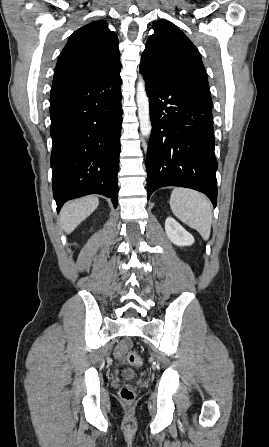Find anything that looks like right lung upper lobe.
<instances>
[{"label":"right lung upper lobe","mask_w":269,"mask_h":447,"mask_svg":"<svg viewBox=\"0 0 269 447\" xmlns=\"http://www.w3.org/2000/svg\"><path fill=\"white\" fill-rule=\"evenodd\" d=\"M117 35L105 21H95L75 31L56 65L53 87L104 80L121 70Z\"/></svg>","instance_id":"obj_1"}]
</instances>
